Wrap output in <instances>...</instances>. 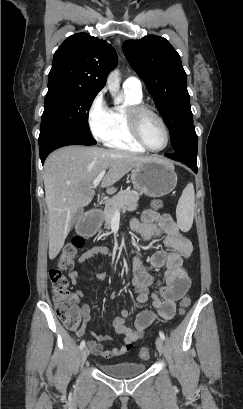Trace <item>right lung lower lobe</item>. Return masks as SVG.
<instances>
[{
    "instance_id": "98d812e1",
    "label": "right lung lower lobe",
    "mask_w": 243,
    "mask_h": 409,
    "mask_svg": "<svg viewBox=\"0 0 243 409\" xmlns=\"http://www.w3.org/2000/svg\"><path fill=\"white\" fill-rule=\"evenodd\" d=\"M97 142L90 136L67 130H53L39 138L42 164L53 150L67 145H94Z\"/></svg>"
}]
</instances>
